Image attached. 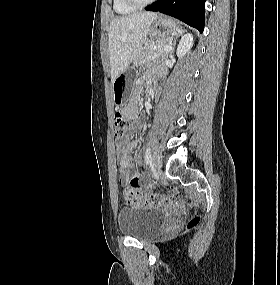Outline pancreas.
Returning <instances> with one entry per match:
<instances>
[{"instance_id": "obj_1", "label": "pancreas", "mask_w": 280, "mask_h": 285, "mask_svg": "<svg viewBox=\"0 0 280 285\" xmlns=\"http://www.w3.org/2000/svg\"><path fill=\"white\" fill-rule=\"evenodd\" d=\"M169 44L170 38H161L148 43L141 49L135 58L134 65L137 67L143 65L148 59H150L149 56H153L152 58H167L168 52L164 51L163 49Z\"/></svg>"}]
</instances>
